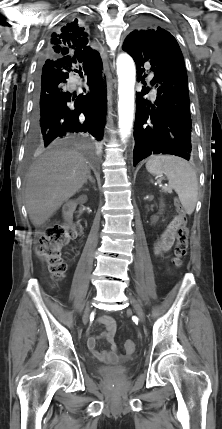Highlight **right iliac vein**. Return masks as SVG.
Returning <instances> with one entry per match:
<instances>
[{"label":"right iliac vein","instance_id":"right-iliac-vein-1","mask_svg":"<svg viewBox=\"0 0 222 429\" xmlns=\"http://www.w3.org/2000/svg\"><path fill=\"white\" fill-rule=\"evenodd\" d=\"M89 313H90V307H87L85 314H84V320L85 321L88 320Z\"/></svg>","mask_w":222,"mask_h":429}]
</instances>
